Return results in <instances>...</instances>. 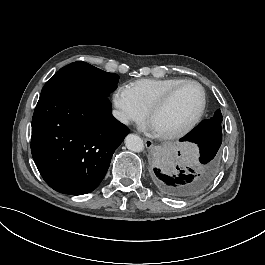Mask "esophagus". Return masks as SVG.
I'll return each mask as SVG.
<instances>
[{"mask_svg":"<svg viewBox=\"0 0 265 265\" xmlns=\"http://www.w3.org/2000/svg\"><path fill=\"white\" fill-rule=\"evenodd\" d=\"M144 142H145V146L147 149H151L153 146V142L152 140L148 139V138H144Z\"/></svg>","mask_w":265,"mask_h":265,"instance_id":"1","label":"esophagus"}]
</instances>
